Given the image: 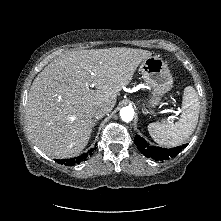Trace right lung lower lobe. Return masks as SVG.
<instances>
[{"instance_id":"98d812e1","label":"right lung lower lobe","mask_w":221,"mask_h":221,"mask_svg":"<svg viewBox=\"0 0 221 221\" xmlns=\"http://www.w3.org/2000/svg\"><path fill=\"white\" fill-rule=\"evenodd\" d=\"M92 152H93V149L89 150L87 153H84L79 157L64 159V160H56V162L59 164L67 165V166H73L75 164H79L82 161H85L88 156L92 155Z\"/></svg>"}]
</instances>
